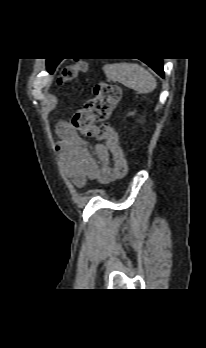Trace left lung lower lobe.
<instances>
[{
  "label": "left lung lower lobe",
  "mask_w": 206,
  "mask_h": 348,
  "mask_svg": "<svg viewBox=\"0 0 206 348\" xmlns=\"http://www.w3.org/2000/svg\"><path fill=\"white\" fill-rule=\"evenodd\" d=\"M142 61L144 63H146L147 65H149L161 77H164L162 59H146V60H142Z\"/></svg>",
  "instance_id": "0a47b994"
}]
</instances>
